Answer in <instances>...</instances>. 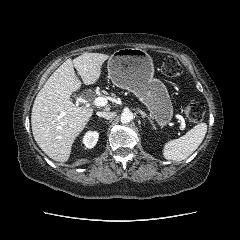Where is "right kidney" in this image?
I'll use <instances>...</instances> for the list:
<instances>
[{
	"label": "right kidney",
	"instance_id": "1",
	"mask_svg": "<svg viewBox=\"0 0 240 240\" xmlns=\"http://www.w3.org/2000/svg\"><path fill=\"white\" fill-rule=\"evenodd\" d=\"M99 138V133L96 131H89L85 134L84 138H83V144L87 147V148H93Z\"/></svg>",
	"mask_w": 240,
	"mask_h": 240
}]
</instances>
